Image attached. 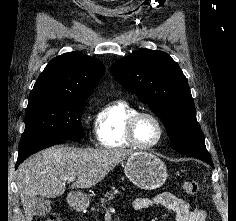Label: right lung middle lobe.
I'll use <instances>...</instances> for the list:
<instances>
[{
    "label": "right lung middle lobe",
    "mask_w": 236,
    "mask_h": 221,
    "mask_svg": "<svg viewBox=\"0 0 236 221\" xmlns=\"http://www.w3.org/2000/svg\"><path fill=\"white\" fill-rule=\"evenodd\" d=\"M86 99L30 97L19 149L41 142L83 138L80 119Z\"/></svg>",
    "instance_id": "right-lung-middle-lobe-1"
}]
</instances>
